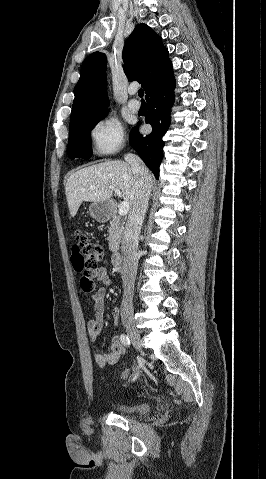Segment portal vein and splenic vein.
<instances>
[{"label":"portal vein and splenic vein","instance_id":"18ae733b","mask_svg":"<svg viewBox=\"0 0 266 479\" xmlns=\"http://www.w3.org/2000/svg\"><path fill=\"white\" fill-rule=\"evenodd\" d=\"M92 188L95 189V187H92ZM109 188L112 189L115 192V194H117L119 197L122 196V193L120 192L119 189H117L113 186H109ZM129 208H130L129 203L126 202V201H123L119 206V215H121V216L126 215L129 211Z\"/></svg>","mask_w":266,"mask_h":479}]
</instances>
